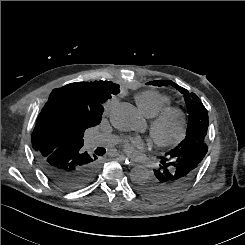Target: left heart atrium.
<instances>
[{"label": "left heart atrium", "instance_id": "39dd6f15", "mask_svg": "<svg viewBox=\"0 0 245 245\" xmlns=\"http://www.w3.org/2000/svg\"><path fill=\"white\" fill-rule=\"evenodd\" d=\"M124 150L132 157H140L144 151L148 149L147 142L139 137H130L123 143Z\"/></svg>", "mask_w": 245, "mask_h": 245}]
</instances>
